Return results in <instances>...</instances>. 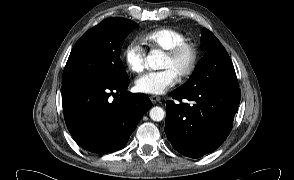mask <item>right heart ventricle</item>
I'll return each mask as SVG.
<instances>
[{"mask_svg":"<svg viewBox=\"0 0 294 180\" xmlns=\"http://www.w3.org/2000/svg\"><path fill=\"white\" fill-rule=\"evenodd\" d=\"M139 39L145 46L162 51H167L174 45L186 41V37L182 32L170 27L152 30L141 35Z\"/></svg>","mask_w":294,"mask_h":180,"instance_id":"e07e8e85","label":"right heart ventricle"}]
</instances>
